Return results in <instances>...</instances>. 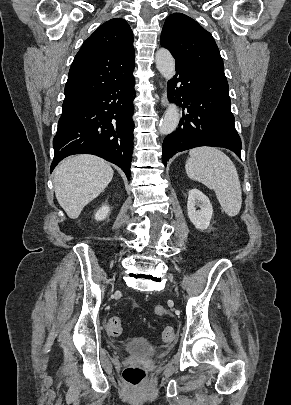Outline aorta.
Segmentation results:
<instances>
[{"label":"aorta","instance_id":"762f6f07","mask_svg":"<svg viewBox=\"0 0 291 405\" xmlns=\"http://www.w3.org/2000/svg\"><path fill=\"white\" fill-rule=\"evenodd\" d=\"M155 62L158 71L166 80H170L174 76L175 60L167 49L161 48L156 52ZM179 120L180 113L177 105L169 104L159 125L160 133L164 135L172 133L177 128Z\"/></svg>","mask_w":291,"mask_h":405}]
</instances>
